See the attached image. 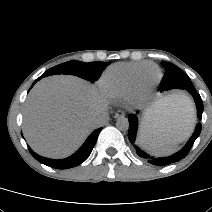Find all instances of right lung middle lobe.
I'll return each mask as SVG.
<instances>
[{
  "label": "right lung middle lobe",
  "instance_id": "obj_1",
  "mask_svg": "<svg viewBox=\"0 0 212 212\" xmlns=\"http://www.w3.org/2000/svg\"><path fill=\"white\" fill-rule=\"evenodd\" d=\"M108 65L107 62H90L69 61L57 65L45 73L47 76L54 74H70L81 77L88 81L94 82L96 76Z\"/></svg>",
  "mask_w": 212,
  "mask_h": 212
}]
</instances>
